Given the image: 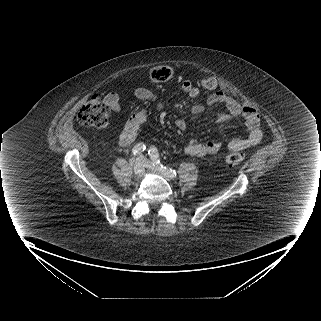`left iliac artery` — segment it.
I'll return each mask as SVG.
<instances>
[{
  "label": "left iliac artery",
  "instance_id": "44dca946",
  "mask_svg": "<svg viewBox=\"0 0 321 321\" xmlns=\"http://www.w3.org/2000/svg\"><path fill=\"white\" fill-rule=\"evenodd\" d=\"M148 154L153 161V165H155L159 170L163 171L166 176L170 178H176L177 173L175 170L168 169L160 163L159 153L156 147H150V149L148 150Z\"/></svg>",
  "mask_w": 321,
  "mask_h": 321
}]
</instances>
